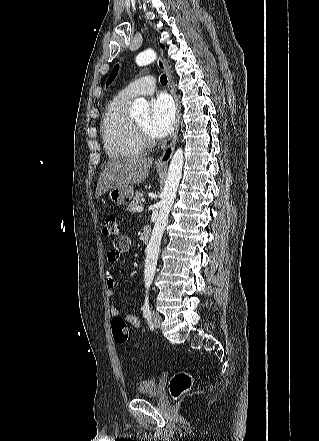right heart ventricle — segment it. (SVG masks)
Returning <instances> with one entry per match:
<instances>
[{"label":"right heart ventricle","instance_id":"obj_1","mask_svg":"<svg viewBox=\"0 0 319 441\" xmlns=\"http://www.w3.org/2000/svg\"><path fill=\"white\" fill-rule=\"evenodd\" d=\"M130 99L117 95L107 106L102 122V138L108 156L134 157L144 151L134 121L128 114Z\"/></svg>","mask_w":319,"mask_h":441}]
</instances>
